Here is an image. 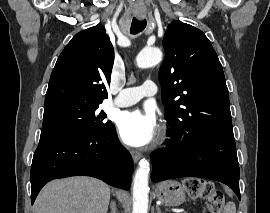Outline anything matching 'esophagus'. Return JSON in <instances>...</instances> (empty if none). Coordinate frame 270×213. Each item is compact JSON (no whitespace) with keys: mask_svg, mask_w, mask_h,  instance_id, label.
Wrapping results in <instances>:
<instances>
[{"mask_svg":"<svg viewBox=\"0 0 270 213\" xmlns=\"http://www.w3.org/2000/svg\"><path fill=\"white\" fill-rule=\"evenodd\" d=\"M131 155H132L133 161H134L135 163H137V162L140 160L141 156H142L140 152L135 151V150H133V151L131 152Z\"/></svg>","mask_w":270,"mask_h":213,"instance_id":"obj_1","label":"esophagus"}]
</instances>
